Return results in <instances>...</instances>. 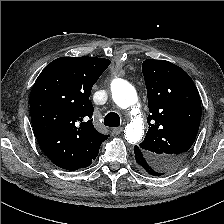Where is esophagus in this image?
Wrapping results in <instances>:
<instances>
[{
    "mask_svg": "<svg viewBox=\"0 0 224 224\" xmlns=\"http://www.w3.org/2000/svg\"><path fill=\"white\" fill-rule=\"evenodd\" d=\"M123 131V127H117L113 129L115 135H119Z\"/></svg>",
    "mask_w": 224,
    "mask_h": 224,
    "instance_id": "34e87169",
    "label": "esophagus"
}]
</instances>
